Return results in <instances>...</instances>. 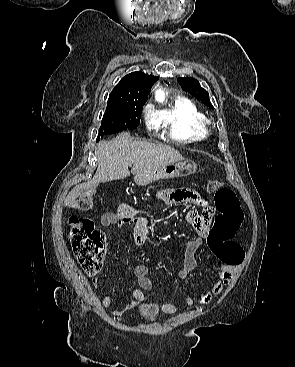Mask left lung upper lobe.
<instances>
[{
  "label": "left lung upper lobe",
  "instance_id": "obj_1",
  "mask_svg": "<svg viewBox=\"0 0 295 367\" xmlns=\"http://www.w3.org/2000/svg\"><path fill=\"white\" fill-rule=\"evenodd\" d=\"M178 82L180 83L184 91L195 96L197 99L203 102L206 106L213 108L210 102V99H209L208 92L200 86L199 81H197L194 78L184 77V78H178Z\"/></svg>",
  "mask_w": 295,
  "mask_h": 367
}]
</instances>
